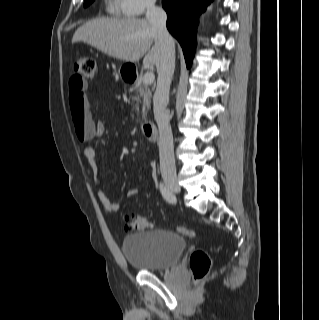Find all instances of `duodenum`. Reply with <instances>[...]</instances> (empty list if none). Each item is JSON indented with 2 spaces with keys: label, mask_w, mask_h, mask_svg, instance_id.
I'll list each match as a JSON object with an SVG mask.
<instances>
[{
  "label": "duodenum",
  "mask_w": 319,
  "mask_h": 320,
  "mask_svg": "<svg viewBox=\"0 0 319 320\" xmlns=\"http://www.w3.org/2000/svg\"><path fill=\"white\" fill-rule=\"evenodd\" d=\"M125 78L128 82H133L135 80V75L128 74V75H125ZM142 130L148 141L154 142L157 140L158 131L154 123H151V122L144 123L142 126Z\"/></svg>",
  "instance_id": "duodenum-1"
}]
</instances>
